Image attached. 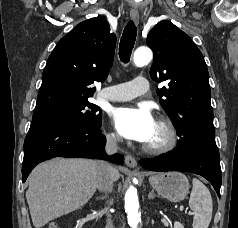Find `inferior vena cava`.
Listing matches in <instances>:
<instances>
[{"mask_svg": "<svg viewBox=\"0 0 238 228\" xmlns=\"http://www.w3.org/2000/svg\"><path fill=\"white\" fill-rule=\"evenodd\" d=\"M117 142H118V137L114 134H109L107 135V142L105 146V150L107 154L111 155L114 154L118 147H117ZM113 167L105 162L102 161L100 162V172L98 176V189L100 191H104L106 193L111 192L113 189ZM113 202L110 201L109 205H111ZM109 207H106L104 209L105 213L107 214V221H106V226L105 228H113V222L111 220V216L109 215L108 212Z\"/></svg>", "mask_w": 238, "mask_h": 228, "instance_id": "obj_1", "label": "inferior vena cava"}]
</instances>
